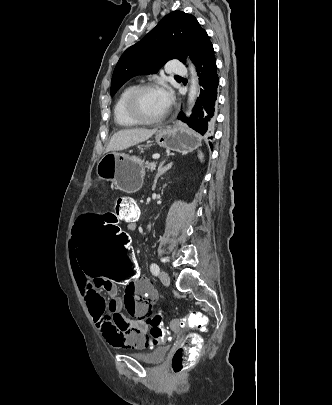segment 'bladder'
Returning <instances> with one entry per match:
<instances>
[{"label":"bladder","mask_w":332,"mask_h":405,"mask_svg":"<svg viewBox=\"0 0 332 405\" xmlns=\"http://www.w3.org/2000/svg\"><path fill=\"white\" fill-rule=\"evenodd\" d=\"M167 351H168L167 346H159L149 352L134 353L133 355L143 363L155 365L161 363L164 360Z\"/></svg>","instance_id":"bladder-1"}]
</instances>
